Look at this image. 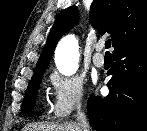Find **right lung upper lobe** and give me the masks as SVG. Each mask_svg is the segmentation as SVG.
Instances as JSON below:
<instances>
[{
    "label": "right lung upper lobe",
    "instance_id": "obj_1",
    "mask_svg": "<svg viewBox=\"0 0 147 131\" xmlns=\"http://www.w3.org/2000/svg\"><path fill=\"white\" fill-rule=\"evenodd\" d=\"M75 7L65 9L52 26L34 74L45 71L60 37L78 21ZM90 20L99 33H110L114 50L147 32V0H93Z\"/></svg>",
    "mask_w": 147,
    "mask_h": 131
}]
</instances>
